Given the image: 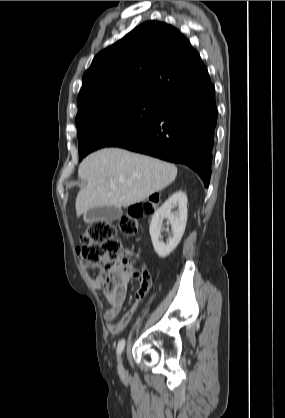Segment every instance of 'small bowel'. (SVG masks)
<instances>
[{
  "label": "small bowel",
  "mask_w": 285,
  "mask_h": 418,
  "mask_svg": "<svg viewBox=\"0 0 285 418\" xmlns=\"http://www.w3.org/2000/svg\"><path fill=\"white\" fill-rule=\"evenodd\" d=\"M104 262H108V259H105ZM80 266L85 278L88 280L90 285L94 288H99L100 286L98 285L97 280L101 277V275L98 274L96 277H93L89 271L98 270L100 266L91 265L85 262H81ZM130 280V276H124L120 271H116L111 275L110 280L106 286L102 288V292L110 306L104 314V320L106 323L107 331L111 335H118L125 329L133 312L136 309L137 304L134 303L119 322H113L114 318L122 312L123 302ZM138 282L139 287L135 292L137 300L143 296V294L149 289L151 285V275L146 266H143L140 276L138 277Z\"/></svg>",
  "instance_id": "small-bowel-1"
}]
</instances>
